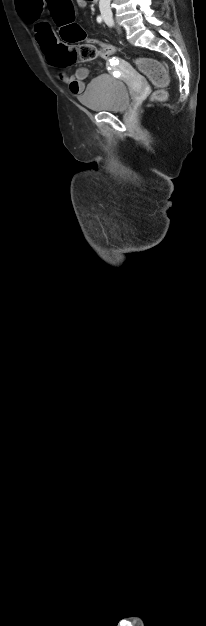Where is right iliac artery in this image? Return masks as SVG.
Instances as JSON below:
<instances>
[{"label": "right iliac artery", "instance_id": "82829eb1", "mask_svg": "<svg viewBox=\"0 0 206 626\" xmlns=\"http://www.w3.org/2000/svg\"><path fill=\"white\" fill-rule=\"evenodd\" d=\"M97 22H98V23H101V22H102V17H101V16H98V17H97Z\"/></svg>", "mask_w": 206, "mask_h": 626}]
</instances>
